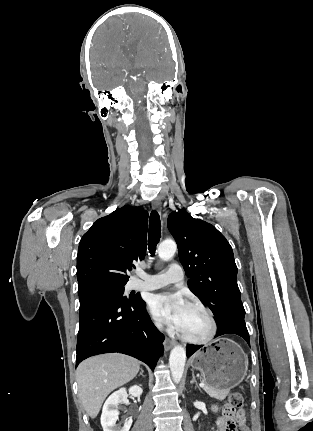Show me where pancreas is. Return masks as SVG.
Segmentation results:
<instances>
[{
    "label": "pancreas",
    "instance_id": "cf45deb5",
    "mask_svg": "<svg viewBox=\"0 0 313 431\" xmlns=\"http://www.w3.org/2000/svg\"><path fill=\"white\" fill-rule=\"evenodd\" d=\"M204 390L210 397L218 400H224L229 393V390H217L208 385H205Z\"/></svg>",
    "mask_w": 313,
    "mask_h": 431
}]
</instances>
